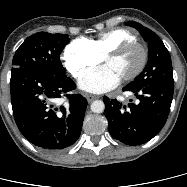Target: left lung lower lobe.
<instances>
[{
	"mask_svg": "<svg viewBox=\"0 0 187 187\" xmlns=\"http://www.w3.org/2000/svg\"><path fill=\"white\" fill-rule=\"evenodd\" d=\"M138 99L123 106L116 99L104 97L108 130L114 139L126 145H139L156 136L166 123L174 85H148L123 88Z\"/></svg>",
	"mask_w": 187,
	"mask_h": 187,
	"instance_id": "1",
	"label": "left lung lower lobe"
}]
</instances>
